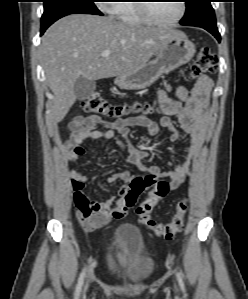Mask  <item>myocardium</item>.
Instances as JSON below:
<instances>
[{"mask_svg": "<svg viewBox=\"0 0 248 299\" xmlns=\"http://www.w3.org/2000/svg\"><path fill=\"white\" fill-rule=\"evenodd\" d=\"M144 2H150V1H144ZM180 4V11L176 18L169 20V21H162L158 19L150 10L151 3H141L139 4L138 8L141 12V14L144 16V18L151 24L159 25V26H173L180 22L185 13H186V3L184 0H179Z\"/></svg>", "mask_w": 248, "mask_h": 299, "instance_id": "myocardium-1", "label": "myocardium"}]
</instances>
